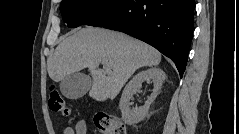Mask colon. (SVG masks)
Returning <instances> with one entry per match:
<instances>
[{
    "mask_svg": "<svg viewBox=\"0 0 239 134\" xmlns=\"http://www.w3.org/2000/svg\"><path fill=\"white\" fill-rule=\"evenodd\" d=\"M49 108L64 117L70 118V109L64 97L54 88L48 94ZM95 126L101 134H126L124 123L116 116L109 113H98L94 119Z\"/></svg>",
    "mask_w": 239,
    "mask_h": 134,
    "instance_id": "1",
    "label": "colon"
}]
</instances>
